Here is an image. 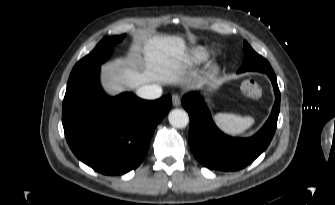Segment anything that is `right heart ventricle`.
Segmentation results:
<instances>
[{
  "label": "right heart ventricle",
  "mask_w": 335,
  "mask_h": 205,
  "mask_svg": "<svg viewBox=\"0 0 335 205\" xmlns=\"http://www.w3.org/2000/svg\"><path fill=\"white\" fill-rule=\"evenodd\" d=\"M210 56V50L205 46H194L189 49L185 56V62L188 66H196L205 62Z\"/></svg>",
  "instance_id": "e07e8e85"
}]
</instances>
